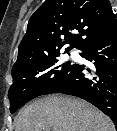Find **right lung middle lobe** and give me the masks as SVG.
Segmentation results:
<instances>
[{"instance_id":"dd1d6c3e","label":"right lung middle lobe","mask_w":117,"mask_h":131,"mask_svg":"<svg viewBox=\"0 0 117 131\" xmlns=\"http://www.w3.org/2000/svg\"><path fill=\"white\" fill-rule=\"evenodd\" d=\"M59 54L50 53L37 62L12 70L13 84L8 92L11 113L62 84L73 65L70 61L61 63L57 59Z\"/></svg>"}]
</instances>
